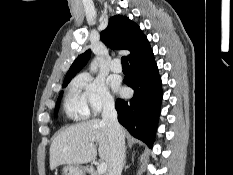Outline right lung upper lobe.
<instances>
[{"mask_svg":"<svg viewBox=\"0 0 233 175\" xmlns=\"http://www.w3.org/2000/svg\"><path fill=\"white\" fill-rule=\"evenodd\" d=\"M100 38L102 42L111 49L130 51L129 62L142 57L151 50L149 41L139 26L129 18L120 15L113 16L109 19V24L107 28L101 32ZM90 55V50L79 55L71 65L64 81L71 80V78L86 65Z\"/></svg>","mask_w":233,"mask_h":175,"instance_id":"obj_1","label":"right lung upper lobe"}]
</instances>
